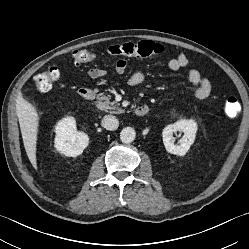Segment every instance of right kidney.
I'll list each match as a JSON object with an SVG mask.
<instances>
[{"label": "right kidney", "instance_id": "ca27d5eb", "mask_svg": "<svg viewBox=\"0 0 249 249\" xmlns=\"http://www.w3.org/2000/svg\"><path fill=\"white\" fill-rule=\"evenodd\" d=\"M55 132V148L65 156L76 157L82 154L89 143L88 135L76 130V122L72 117L59 121Z\"/></svg>", "mask_w": 249, "mask_h": 249}]
</instances>
